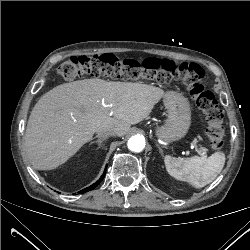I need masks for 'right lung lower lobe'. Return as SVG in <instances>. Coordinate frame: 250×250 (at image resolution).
<instances>
[{
	"label": "right lung lower lobe",
	"instance_id": "98d812e1",
	"mask_svg": "<svg viewBox=\"0 0 250 250\" xmlns=\"http://www.w3.org/2000/svg\"><path fill=\"white\" fill-rule=\"evenodd\" d=\"M106 169L107 168H105V171H104L103 175L100 177V179L97 182L92 184L90 187H87V188L83 189L79 193L82 194V193H85V192L90 191V190L94 189L95 187H97L100 184V182L103 180V178H104V176L106 174Z\"/></svg>",
	"mask_w": 250,
	"mask_h": 250
}]
</instances>
